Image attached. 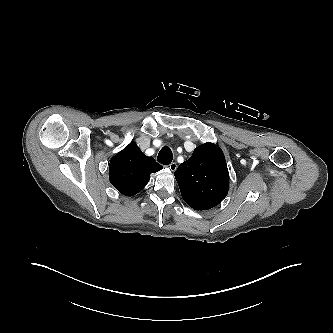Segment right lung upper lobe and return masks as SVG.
<instances>
[{"mask_svg":"<svg viewBox=\"0 0 333 333\" xmlns=\"http://www.w3.org/2000/svg\"><path fill=\"white\" fill-rule=\"evenodd\" d=\"M162 169L152 157H147L131 142L109 163V179L123 195L133 196L140 192L150 180V174Z\"/></svg>","mask_w":333,"mask_h":333,"instance_id":"right-lung-upper-lobe-1","label":"right lung upper lobe"}]
</instances>
